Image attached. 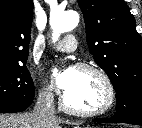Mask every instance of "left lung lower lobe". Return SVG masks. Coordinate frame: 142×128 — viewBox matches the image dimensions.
Here are the masks:
<instances>
[{
    "instance_id": "obj_1",
    "label": "left lung lower lobe",
    "mask_w": 142,
    "mask_h": 128,
    "mask_svg": "<svg viewBox=\"0 0 142 128\" xmlns=\"http://www.w3.org/2000/svg\"><path fill=\"white\" fill-rule=\"evenodd\" d=\"M94 122L100 123H129L134 125H142V116H126V117H116L113 116L112 118H98L95 119Z\"/></svg>"
}]
</instances>
